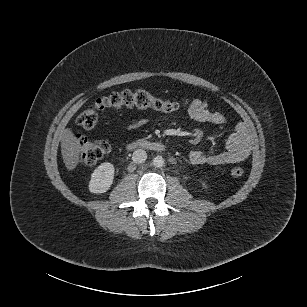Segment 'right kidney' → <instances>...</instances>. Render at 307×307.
<instances>
[{
  "label": "right kidney",
  "instance_id": "ca27d5eb",
  "mask_svg": "<svg viewBox=\"0 0 307 307\" xmlns=\"http://www.w3.org/2000/svg\"><path fill=\"white\" fill-rule=\"evenodd\" d=\"M114 166L105 162L98 166L92 173L89 190L92 193H104L113 183Z\"/></svg>",
  "mask_w": 307,
  "mask_h": 307
}]
</instances>
